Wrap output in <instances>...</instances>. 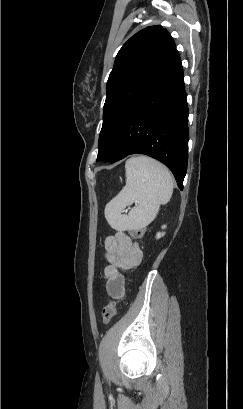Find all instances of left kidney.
I'll use <instances>...</instances> for the list:
<instances>
[{"instance_id": "obj_1", "label": "left kidney", "mask_w": 243, "mask_h": 409, "mask_svg": "<svg viewBox=\"0 0 243 409\" xmlns=\"http://www.w3.org/2000/svg\"><path fill=\"white\" fill-rule=\"evenodd\" d=\"M162 228L164 229V228H166V226L164 225V226H162ZM164 235H165V233L159 232V233H157L156 238L159 239V238H161V237L164 236Z\"/></svg>"}]
</instances>
